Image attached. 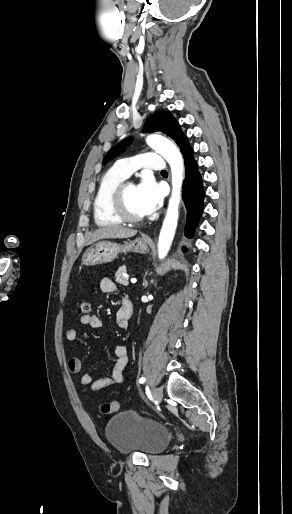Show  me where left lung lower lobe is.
I'll return each mask as SVG.
<instances>
[{
	"mask_svg": "<svg viewBox=\"0 0 292 514\" xmlns=\"http://www.w3.org/2000/svg\"><path fill=\"white\" fill-rule=\"evenodd\" d=\"M190 144L182 152L185 163V181L183 184V200L186 206L185 236L192 238L204 209L205 191L198 164L193 156Z\"/></svg>",
	"mask_w": 292,
	"mask_h": 514,
	"instance_id": "left-lung-lower-lobe-1",
	"label": "left lung lower lobe"
}]
</instances>
